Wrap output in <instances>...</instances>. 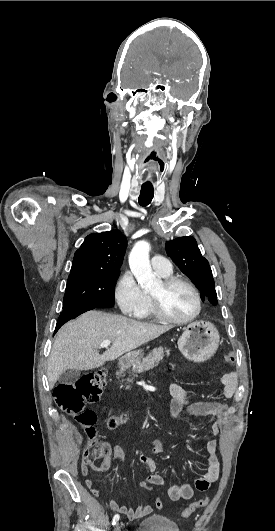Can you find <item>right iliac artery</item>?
<instances>
[{
	"label": "right iliac artery",
	"mask_w": 275,
	"mask_h": 531,
	"mask_svg": "<svg viewBox=\"0 0 275 531\" xmlns=\"http://www.w3.org/2000/svg\"><path fill=\"white\" fill-rule=\"evenodd\" d=\"M119 520V515L116 514L114 517H113V520H112V525H115L116 522Z\"/></svg>",
	"instance_id": "82829eb1"
}]
</instances>
